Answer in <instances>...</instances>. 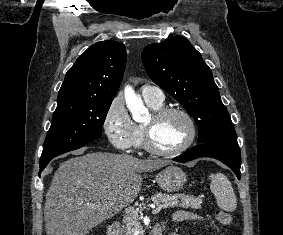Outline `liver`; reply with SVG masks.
Segmentation results:
<instances>
[{"label": "liver", "mask_w": 283, "mask_h": 235, "mask_svg": "<svg viewBox=\"0 0 283 235\" xmlns=\"http://www.w3.org/2000/svg\"><path fill=\"white\" fill-rule=\"evenodd\" d=\"M83 153L74 152L77 156L54 174L44 209L47 235L88 234L136 199L142 186L140 172L169 164L127 154Z\"/></svg>", "instance_id": "obj_1"}]
</instances>
